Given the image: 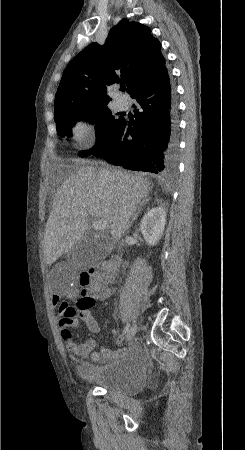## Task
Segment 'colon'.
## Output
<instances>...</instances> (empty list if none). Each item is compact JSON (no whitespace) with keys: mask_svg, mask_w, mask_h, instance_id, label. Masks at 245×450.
I'll return each mask as SVG.
<instances>
[{"mask_svg":"<svg viewBox=\"0 0 245 450\" xmlns=\"http://www.w3.org/2000/svg\"><path fill=\"white\" fill-rule=\"evenodd\" d=\"M116 262L115 260L106 262L98 261L87 270H83L78 277V284L83 292V297L78 303V310L70 301H63L60 305L59 314L60 322L65 327L63 336L66 339L71 337V326L79 318V310H87L92 308L93 300L90 293L94 287L105 288L115 279Z\"/></svg>","mask_w":245,"mask_h":450,"instance_id":"obj_1","label":"colon"}]
</instances>
